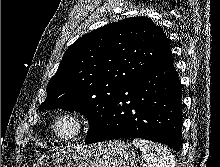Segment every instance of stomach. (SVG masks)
Returning <instances> with one entry per match:
<instances>
[{
    "label": "stomach",
    "instance_id": "stomach-1",
    "mask_svg": "<svg viewBox=\"0 0 220 167\" xmlns=\"http://www.w3.org/2000/svg\"><path fill=\"white\" fill-rule=\"evenodd\" d=\"M136 154L121 140L74 147L39 159L34 167H134Z\"/></svg>",
    "mask_w": 220,
    "mask_h": 167
}]
</instances>
